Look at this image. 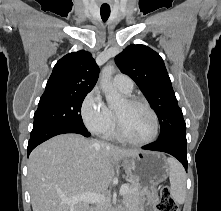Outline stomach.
Listing matches in <instances>:
<instances>
[{
  "label": "stomach",
  "instance_id": "obj_1",
  "mask_svg": "<svg viewBox=\"0 0 221 211\" xmlns=\"http://www.w3.org/2000/svg\"><path fill=\"white\" fill-rule=\"evenodd\" d=\"M123 167L131 181L139 186L142 199L139 208L146 206L147 199L154 196L155 187L169 175L166 158L158 152L140 151L125 158Z\"/></svg>",
  "mask_w": 221,
  "mask_h": 211
}]
</instances>
